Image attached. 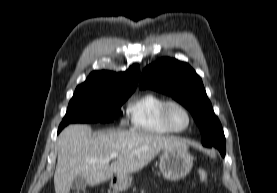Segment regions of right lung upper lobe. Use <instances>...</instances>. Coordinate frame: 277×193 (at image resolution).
<instances>
[{"mask_svg":"<svg viewBox=\"0 0 277 193\" xmlns=\"http://www.w3.org/2000/svg\"><path fill=\"white\" fill-rule=\"evenodd\" d=\"M139 76L140 68L137 64L132 65L126 72L95 71L76 89L97 92H133Z\"/></svg>","mask_w":277,"mask_h":193,"instance_id":"1","label":"right lung upper lobe"}]
</instances>
